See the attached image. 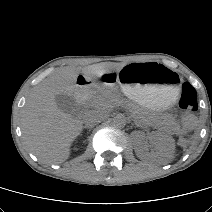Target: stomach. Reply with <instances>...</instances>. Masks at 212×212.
<instances>
[{
    "label": "stomach",
    "mask_w": 212,
    "mask_h": 212,
    "mask_svg": "<svg viewBox=\"0 0 212 212\" xmlns=\"http://www.w3.org/2000/svg\"><path fill=\"white\" fill-rule=\"evenodd\" d=\"M109 72L106 75H112ZM146 75L148 78H141ZM112 84V80H108ZM122 92L138 105L161 110L172 105L178 96L176 73L157 63L127 64L117 72Z\"/></svg>",
    "instance_id": "1"
}]
</instances>
